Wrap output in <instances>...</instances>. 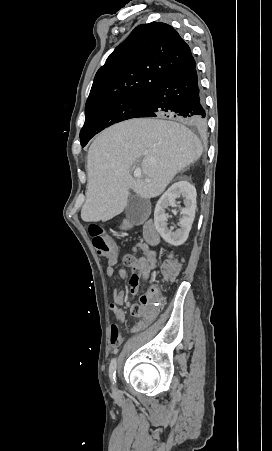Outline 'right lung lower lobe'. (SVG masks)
Returning <instances> with one entry per match:
<instances>
[{
    "label": "right lung lower lobe",
    "instance_id": "obj_1",
    "mask_svg": "<svg viewBox=\"0 0 272 451\" xmlns=\"http://www.w3.org/2000/svg\"><path fill=\"white\" fill-rule=\"evenodd\" d=\"M138 117L176 118L198 131L206 130L204 95L193 56L150 93Z\"/></svg>",
    "mask_w": 272,
    "mask_h": 451
}]
</instances>
